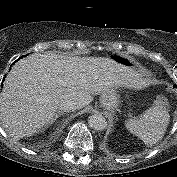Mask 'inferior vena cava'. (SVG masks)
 Listing matches in <instances>:
<instances>
[{
    "mask_svg": "<svg viewBox=\"0 0 177 177\" xmlns=\"http://www.w3.org/2000/svg\"><path fill=\"white\" fill-rule=\"evenodd\" d=\"M79 108L80 107L76 102L70 100L62 102L59 106V110L62 112H72Z\"/></svg>",
    "mask_w": 177,
    "mask_h": 177,
    "instance_id": "602c4592",
    "label": "inferior vena cava"
}]
</instances>
